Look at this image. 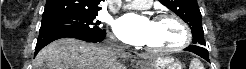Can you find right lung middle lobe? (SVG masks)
Listing matches in <instances>:
<instances>
[{
  "label": "right lung middle lobe",
  "mask_w": 246,
  "mask_h": 69,
  "mask_svg": "<svg viewBox=\"0 0 246 69\" xmlns=\"http://www.w3.org/2000/svg\"><path fill=\"white\" fill-rule=\"evenodd\" d=\"M97 14H59L43 17L40 32L50 30H71L82 33H97L100 22Z\"/></svg>",
  "instance_id": "obj_1"
}]
</instances>
